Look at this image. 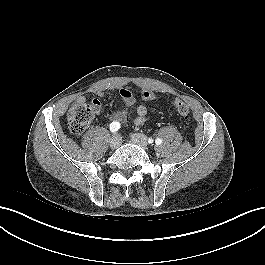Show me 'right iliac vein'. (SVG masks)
Returning a JSON list of instances; mask_svg holds the SVG:
<instances>
[{
  "instance_id": "63e3f726",
  "label": "right iliac vein",
  "mask_w": 265,
  "mask_h": 265,
  "mask_svg": "<svg viewBox=\"0 0 265 265\" xmlns=\"http://www.w3.org/2000/svg\"><path fill=\"white\" fill-rule=\"evenodd\" d=\"M122 139L120 135H114L110 140V148L117 149L121 145Z\"/></svg>"
}]
</instances>
